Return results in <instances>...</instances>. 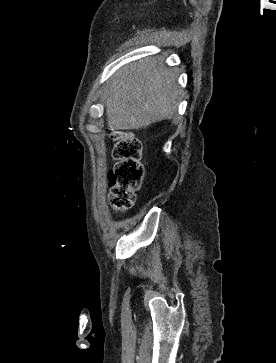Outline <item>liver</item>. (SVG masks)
<instances>
[{
  "label": "liver",
  "instance_id": "1",
  "mask_svg": "<svg viewBox=\"0 0 276 363\" xmlns=\"http://www.w3.org/2000/svg\"><path fill=\"white\" fill-rule=\"evenodd\" d=\"M176 80L173 70L151 58L123 67L106 91L108 127L140 129L173 118L181 94Z\"/></svg>",
  "mask_w": 276,
  "mask_h": 363
}]
</instances>
